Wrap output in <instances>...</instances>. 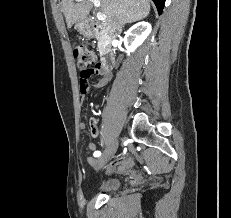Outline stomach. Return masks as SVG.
I'll return each instance as SVG.
<instances>
[{
  "label": "stomach",
  "mask_w": 231,
  "mask_h": 218,
  "mask_svg": "<svg viewBox=\"0 0 231 218\" xmlns=\"http://www.w3.org/2000/svg\"><path fill=\"white\" fill-rule=\"evenodd\" d=\"M75 29L81 34L86 35L88 33L87 25L85 22H78L75 25Z\"/></svg>",
  "instance_id": "stomach-1"
}]
</instances>
